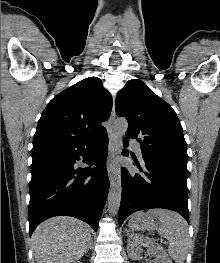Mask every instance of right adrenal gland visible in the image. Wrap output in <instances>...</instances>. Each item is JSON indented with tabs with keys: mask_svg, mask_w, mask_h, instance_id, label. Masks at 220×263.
Listing matches in <instances>:
<instances>
[{
	"mask_svg": "<svg viewBox=\"0 0 220 263\" xmlns=\"http://www.w3.org/2000/svg\"><path fill=\"white\" fill-rule=\"evenodd\" d=\"M92 248V240L90 241V244L88 246V250Z\"/></svg>",
	"mask_w": 220,
	"mask_h": 263,
	"instance_id": "1",
	"label": "right adrenal gland"
}]
</instances>
